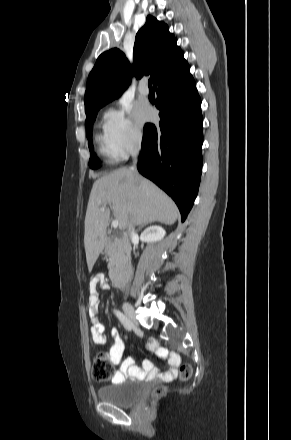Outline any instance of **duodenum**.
I'll list each match as a JSON object with an SVG mask.
<instances>
[{"label":"duodenum","mask_w":291,"mask_h":440,"mask_svg":"<svg viewBox=\"0 0 291 440\" xmlns=\"http://www.w3.org/2000/svg\"><path fill=\"white\" fill-rule=\"evenodd\" d=\"M109 276L113 284L120 285L123 281L131 277V267L127 261H122L118 265H112L109 270Z\"/></svg>","instance_id":"1"}]
</instances>
